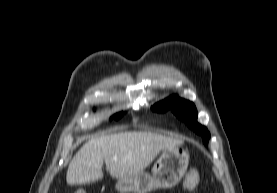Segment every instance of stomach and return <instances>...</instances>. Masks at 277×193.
Listing matches in <instances>:
<instances>
[{
  "mask_svg": "<svg viewBox=\"0 0 277 193\" xmlns=\"http://www.w3.org/2000/svg\"><path fill=\"white\" fill-rule=\"evenodd\" d=\"M189 164V154L176 146L162 151L152 168V174L141 171L130 177L120 178L116 189L120 193H149L157 188H172L183 178Z\"/></svg>",
  "mask_w": 277,
  "mask_h": 193,
  "instance_id": "stomach-1",
  "label": "stomach"
}]
</instances>
